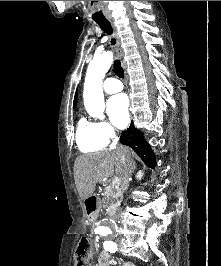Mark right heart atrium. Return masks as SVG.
<instances>
[{
    "label": "right heart atrium",
    "instance_id": "1",
    "mask_svg": "<svg viewBox=\"0 0 221 266\" xmlns=\"http://www.w3.org/2000/svg\"><path fill=\"white\" fill-rule=\"evenodd\" d=\"M98 129L101 133V135L107 139L110 140L116 135L115 128L107 121H100L97 123Z\"/></svg>",
    "mask_w": 221,
    "mask_h": 266
}]
</instances>
